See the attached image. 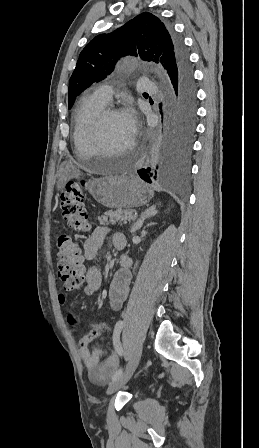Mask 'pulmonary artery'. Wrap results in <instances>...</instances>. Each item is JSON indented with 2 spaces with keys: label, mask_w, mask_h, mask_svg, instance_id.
I'll list each match as a JSON object with an SVG mask.
<instances>
[{
  "label": "pulmonary artery",
  "mask_w": 259,
  "mask_h": 448,
  "mask_svg": "<svg viewBox=\"0 0 259 448\" xmlns=\"http://www.w3.org/2000/svg\"><path fill=\"white\" fill-rule=\"evenodd\" d=\"M97 98L104 103H108L113 95L112 87L109 84H101L94 88Z\"/></svg>",
  "instance_id": "obj_1"
}]
</instances>
